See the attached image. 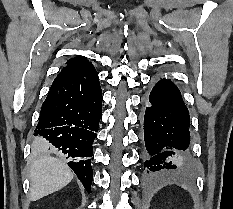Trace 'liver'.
I'll list each match as a JSON object with an SVG mask.
<instances>
[{
    "label": "liver",
    "instance_id": "obj_1",
    "mask_svg": "<svg viewBox=\"0 0 233 209\" xmlns=\"http://www.w3.org/2000/svg\"><path fill=\"white\" fill-rule=\"evenodd\" d=\"M73 176L72 170L57 158L50 155L35 158L31 163L29 174L30 200L37 201L62 189L71 182Z\"/></svg>",
    "mask_w": 233,
    "mask_h": 209
}]
</instances>
